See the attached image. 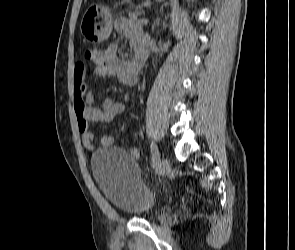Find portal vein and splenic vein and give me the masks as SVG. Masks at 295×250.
Segmentation results:
<instances>
[{
  "label": "portal vein and splenic vein",
  "mask_w": 295,
  "mask_h": 250,
  "mask_svg": "<svg viewBox=\"0 0 295 250\" xmlns=\"http://www.w3.org/2000/svg\"><path fill=\"white\" fill-rule=\"evenodd\" d=\"M140 24H141V25H147V24H148V19H142V20L140 21Z\"/></svg>",
  "instance_id": "obj_1"
}]
</instances>
